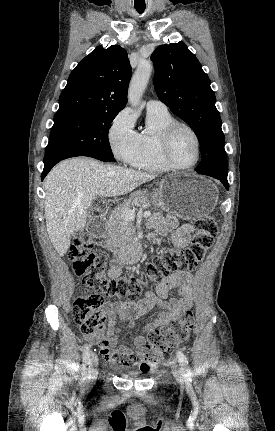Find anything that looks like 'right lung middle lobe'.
<instances>
[{
    "mask_svg": "<svg viewBox=\"0 0 275 431\" xmlns=\"http://www.w3.org/2000/svg\"><path fill=\"white\" fill-rule=\"evenodd\" d=\"M117 114L115 111L99 110L56 113L46 154L80 149L100 154L114 162L108 133Z\"/></svg>",
    "mask_w": 275,
    "mask_h": 431,
    "instance_id": "1",
    "label": "right lung middle lobe"
}]
</instances>
